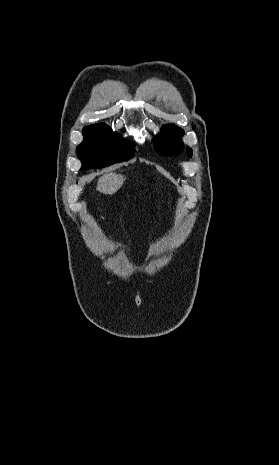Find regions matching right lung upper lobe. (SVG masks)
<instances>
[{"instance_id":"1","label":"right lung upper lobe","mask_w":279,"mask_h":465,"mask_svg":"<svg viewBox=\"0 0 279 465\" xmlns=\"http://www.w3.org/2000/svg\"><path fill=\"white\" fill-rule=\"evenodd\" d=\"M94 126H106V125H105L104 123L94 124V125L86 126L84 129H87V128H90V127H94Z\"/></svg>"}]
</instances>
